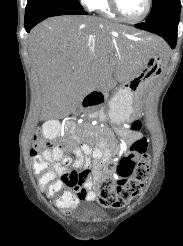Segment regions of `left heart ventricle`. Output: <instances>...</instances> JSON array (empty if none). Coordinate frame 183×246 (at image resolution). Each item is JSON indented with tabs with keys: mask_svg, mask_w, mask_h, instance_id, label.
<instances>
[{
	"mask_svg": "<svg viewBox=\"0 0 183 246\" xmlns=\"http://www.w3.org/2000/svg\"><path fill=\"white\" fill-rule=\"evenodd\" d=\"M123 14L129 18H137L145 10L146 0H118Z\"/></svg>",
	"mask_w": 183,
	"mask_h": 246,
	"instance_id": "1",
	"label": "left heart ventricle"
}]
</instances>
